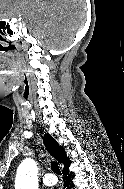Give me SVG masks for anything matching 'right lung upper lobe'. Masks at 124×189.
Here are the masks:
<instances>
[{"mask_svg": "<svg viewBox=\"0 0 124 189\" xmlns=\"http://www.w3.org/2000/svg\"><path fill=\"white\" fill-rule=\"evenodd\" d=\"M44 144L49 153L64 165V168L70 164V161L67 158L63 147H60L49 134H45Z\"/></svg>", "mask_w": 124, "mask_h": 189, "instance_id": "cb5924a9", "label": "right lung upper lobe"}]
</instances>
